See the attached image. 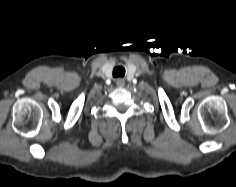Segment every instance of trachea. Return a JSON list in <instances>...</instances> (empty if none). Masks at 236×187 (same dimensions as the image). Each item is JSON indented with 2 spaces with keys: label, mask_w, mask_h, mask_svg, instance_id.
Here are the masks:
<instances>
[{
  "label": "trachea",
  "mask_w": 236,
  "mask_h": 187,
  "mask_svg": "<svg viewBox=\"0 0 236 187\" xmlns=\"http://www.w3.org/2000/svg\"><path fill=\"white\" fill-rule=\"evenodd\" d=\"M125 76V68L122 66H117L113 69V77H124Z\"/></svg>",
  "instance_id": "obj_1"
}]
</instances>
